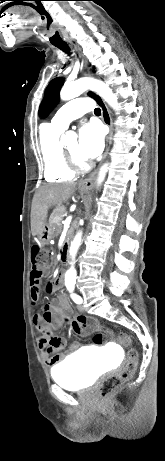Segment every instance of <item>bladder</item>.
I'll list each match as a JSON object with an SVG mask.
<instances>
[{"label":"bladder","mask_w":165,"mask_h":461,"mask_svg":"<svg viewBox=\"0 0 165 461\" xmlns=\"http://www.w3.org/2000/svg\"><path fill=\"white\" fill-rule=\"evenodd\" d=\"M95 351L78 352L51 370L53 380L68 390H83L91 387L105 371L106 363L97 358Z\"/></svg>","instance_id":"1"}]
</instances>
